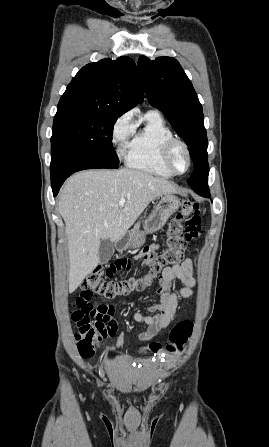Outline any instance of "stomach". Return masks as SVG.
Masks as SVG:
<instances>
[{"label": "stomach", "mask_w": 269, "mask_h": 447, "mask_svg": "<svg viewBox=\"0 0 269 447\" xmlns=\"http://www.w3.org/2000/svg\"><path fill=\"white\" fill-rule=\"evenodd\" d=\"M157 200L156 206H154L150 216L144 222V231H139V229L135 233L129 231L121 245H117V249L125 251L129 247H139L145 241V233H153V231L163 227L168 218L174 212H177L181 206L179 198L172 196V194H163V196H158Z\"/></svg>", "instance_id": "1"}]
</instances>
